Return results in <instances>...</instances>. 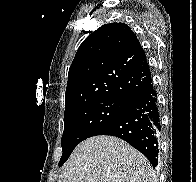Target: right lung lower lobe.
<instances>
[{"label":"right lung lower lobe","instance_id":"1","mask_svg":"<svg viewBox=\"0 0 196 182\" xmlns=\"http://www.w3.org/2000/svg\"><path fill=\"white\" fill-rule=\"evenodd\" d=\"M160 113L152 80L129 103V107L101 126L92 136L111 135L139 150L153 167L158 164Z\"/></svg>","mask_w":196,"mask_h":182}]
</instances>
